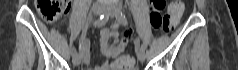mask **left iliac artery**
Masks as SVG:
<instances>
[{"mask_svg":"<svg viewBox=\"0 0 238 70\" xmlns=\"http://www.w3.org/2000/svg\"><path fill=\"white\" fill-rule=\"evenodd\" d=\"M116 16H117V20L119 21V23H121L122 25H126L128 22H127V18L125 16V14L123 13L122 11V8H121V5L118 4L117 7H116ZM148 42L147 41H144L143 43H141V50L143 51H148Z\"/></svg>","mask_w":238,"mask_h":70,"instance_id":"obj_1","label":"left iliac artery"}]
</instances>
